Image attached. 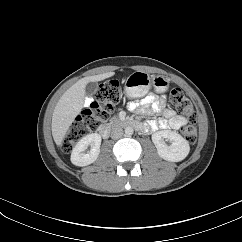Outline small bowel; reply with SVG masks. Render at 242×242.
Listing matches in <instances>:
<instances>
[{"instance_id":"1","label":"small bowel","mask_w":242,"mask_h":242,"mask_svg":"<svg viewBox=\"0 0 242 242\" xmlns=\"http://www.w3.org/2000/svg\"><path fill=\"white\" fill-rule=\"evenodd\" d=\"M90 100H87V104ZM129 109L141 113L161 114L163 118L159 120L149 121L144 124H137V126L145 132L153 131L156 129H172L178 130L182 127L186 119L178 115L174 110L165 106V97H157L154 94H149L144 97L139 103L130 102Z\"/></svg>"}]
</instances>
